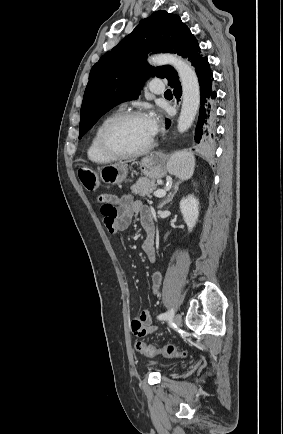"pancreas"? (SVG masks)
<instances>
[{"mask_svg":"<svg viewBox=\"0 0 283 434\" xmlns=\"http://www.w3.org/2000/svg\"><path fill=\"white\" fill-rule=\"evenodd\" d=\"M157 184L155 181H150L147 178H139L136 184L131 187V191L135 195L140 196H148L151 197V194L156 189Z\"/></svg>","mask_w":283,"mask_h":434,"instance_id":"pancreas-1","label":"pancreas"}]
</instances>
